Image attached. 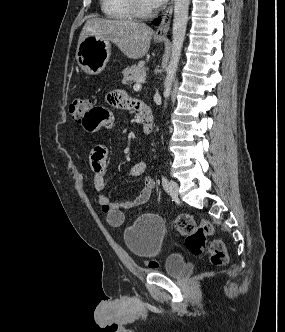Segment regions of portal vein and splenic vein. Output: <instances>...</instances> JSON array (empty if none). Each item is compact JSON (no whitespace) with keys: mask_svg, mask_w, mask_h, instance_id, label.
<instances>
[{"mask_svg":"<svg viewBox=\"0 0 285 332\" xmlns=\"http://www.w3.org/2000/svg\"><path fill=\"white\" fill-rule=\"evenodd\" d=\"M142 81H144V80H142ZM141 88H142V86H141L140 82L136 83V84L133 86V89H134L135 91H139V90H141Z\"/></svg>","mask_w":285,"mask_h":332,"instance_id":"portal-vein-and-splenic-vein-1","label":"portal vein and splenic vein"}]
</instances>
